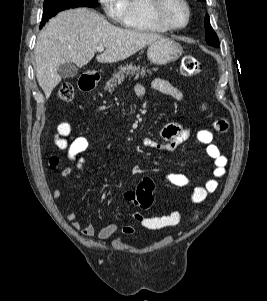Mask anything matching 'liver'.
I'll list each match as a JSON object with an SVG mask.
<instances>
[{"label":"liver","mask_w":267,"mask_h":301,"mask_svg":"<svg viewBox=\"0 0 267 301\" xmlns=\"http://www.w3.org/2000/svg\"><path fill=\"white\" fill-rule=\"evenodd\" d=\"M160 38L162 36L156 33L116 27L86 8L61 12L48 22L36 41L35 71L38 84L46 98H49L61 81L58 73L61 64L71 62L83 67L93 59L98 46L105 48L97 56L98 62L122 61Z\"/></svg>","instance_id":"liver-1"}]
</instances>
